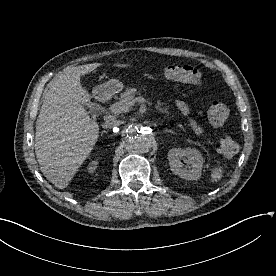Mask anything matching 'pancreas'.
<instances>
[{"label": "pancreas", "mask_w": 276, "mask_h": 276, "mask_svg": "<svg viewBox=\"0 0 276 276\" xmlns=\"http://www.w3.org/2000/svg\"><path fill=\"white\" fill-rule=\"evenodd\" d=\"M136 94H140L139 91H137V89L135 88H128L126 89L123 93L120 94V101H131L135 99V95ZM162 103L161 102H157L156 104V108L162 112V113H166L169 114L168 109L167 108H161Z\"/></svg>", "instance_id": "cf45deb5"}]
</instances>
